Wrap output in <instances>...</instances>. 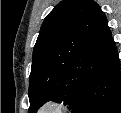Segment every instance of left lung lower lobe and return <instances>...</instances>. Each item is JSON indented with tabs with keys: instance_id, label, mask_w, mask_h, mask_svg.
Wrapping results in <instances>:
<instances>
[{
	"instance_id": "0a47b994",
	"label": "left lung lower lobe",
	"mask_w": 121,
	"mask_h": 113,
	"mask_svg": "<svg viewBox=\"0 0 121 113\" xmlns=\"http://www.w3.org/2000/svg\"><path fill=\"white\" fill-rule=\"evenodd\" d=\"M72 113H121L120 61L116 47L80 95Z\"/></svg>"
}]
</instances>
